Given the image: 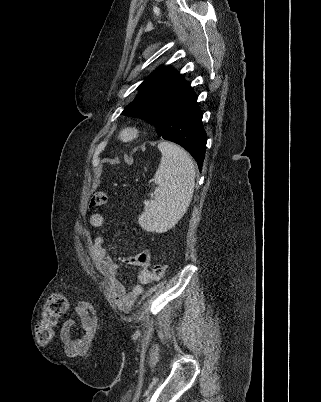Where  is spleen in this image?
I'll return each instance as SVG.
<instances>
[{
  "label": "spleen",
  "mask_w": 321,
  "mask_h": 402,
  "mask_svg": "<svg viewBox=\"0 0 321 402\" xmlns=\"http://www.w3.org/2000/svg\"><path fill=\"white\" fill-rule=\"evenodd\" d=\"M162 157L154 175L155 197L139 216L140 226L150 232H164L184 215L193 197L195 167L187 152L176 144H158Z\"/></svg>",
  "instance_id": "obj_1"
}]
</instances>
